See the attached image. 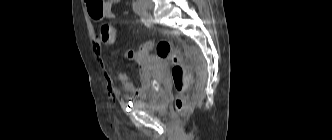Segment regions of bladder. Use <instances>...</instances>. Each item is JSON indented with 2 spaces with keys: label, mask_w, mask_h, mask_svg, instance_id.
Returning <instances> with one entry per match:
<instances>
[{
  "label": "bladder",
  "mask_w": 332,
  "mask_h": 140,
  "mask_svg": "<svg viewBox=\"0 0 332 140\" xmlns=\"http://www.w3.org/2000/svg\"><path fill=\"white\" fill-rule=\"evenodd\" d=\"M165 99L162 91H152L145 98L134 101V104L142 109H156Z\"/></svg>",
  "instance_id": "1"
}]
</instances>
